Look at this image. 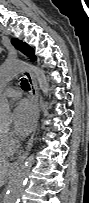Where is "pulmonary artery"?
<instances>
[{
  "mask_svg": "<svg viewBox=\"0 0 89 203\" xmlns=\"http://www.w3.org/2000/svg\"><path fill=\"white\" fill-rule=\"evenodd\" d=\"M4 96L11 99H16L21 96V92L13 87H9L5 90Z\"/></svg>",
  "mask_w": 89,
  "mask_h": 203,
  "instance_id": "e3ab8cb5",
  "label": "pulmonary artery"
}]
</instances>
